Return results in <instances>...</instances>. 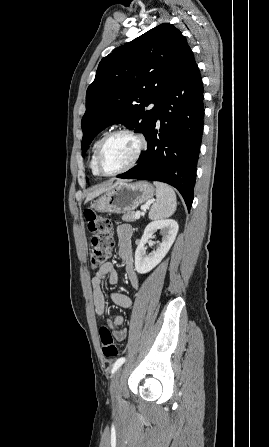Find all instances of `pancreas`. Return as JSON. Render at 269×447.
<instances>
[{
	"instance_id": "1",
	"label": "pancreas",
	"mask_w": 269,
	"mask_h": 447,
	"mask_svg": "<svg viewBox=\"0 0 269 447\" xmlns=\"http://www.w3.org/2000/svg\"><path fill=\"white\" fill-rule=\"evenodd\" d=\"M122 220H124V222H136L135 212H127V214H124V216H122Z\"/></svg>"
}]
</instances>
